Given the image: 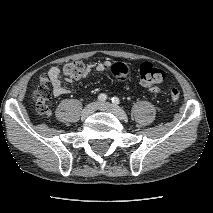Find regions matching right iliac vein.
<instances>
[{"label":"right iliac vein","instance_id":"63e3f726","mask_svg":"<svg viewBox=\"0 0 213 213\" xmlns=\"http://www.w3.org/2000/svg\"><path fill=\"white\" fill-rule=\"evenodd\" d=\"M98 104L97 103H90L88 104L82 111V118H87L90 115H92L96 109H97Z\"/></svg>","mask_w":213,"mask_h":213}]
</instances>
